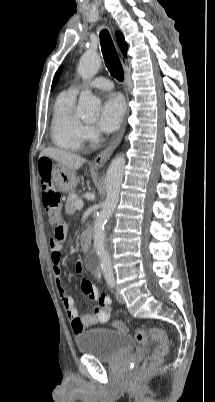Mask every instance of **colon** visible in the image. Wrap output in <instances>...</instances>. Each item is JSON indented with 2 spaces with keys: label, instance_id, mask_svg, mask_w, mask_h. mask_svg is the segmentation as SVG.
I'll return each mask as SVG.
<instances>
[{
  "label": "colon",
  "instance_id": "colon-1",
  "mask_svg": "<svg viewBox=\"0 0 215 402\" xmlns=\"http://www.w3.org/2000/svg\"><path fill=\"white\" fill-rule=\"evenodd\" d=\"M38 168L40 185L42 189V202L47 212L50 224L60 226L61 213H60V194L53 188L51 182V171L53 168V161L50 156L38 157ZM57 226V227H58ZM115 326L119 329H124L120 322H115ZM136 340L139 344L155 343L153 352L144 360L140 375L145 376L153 371L162 361L163 357L169 350V340L166 332L158 327L150 329H138L135 333Z\"/></svg>",
  "mask_w": 215,
  "mask_h": 402
}]
</instances>
